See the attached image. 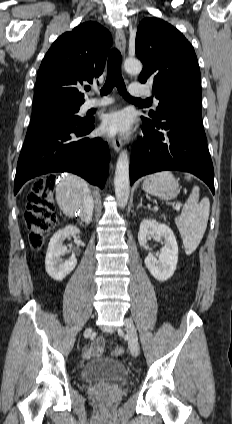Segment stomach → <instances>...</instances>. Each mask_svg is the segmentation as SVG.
Returning a JSON list of instances; mask_svg holds the SVG:
<instances>
[{"label":"stomach","instance_id":"0dacf381","mask_svg":"<svg viewBox=\"0 0 232 424\" xmlns=\"http://www.w3.org/2000/svg\"><path fill=\"white\" fill-rule=\"evenodd\" d=\"M142 189L162 200H172L179 193V184L171 172L162 171L147 177Z\"/></svg>","mask_w":232,"mask_h":424}]
</instances>
